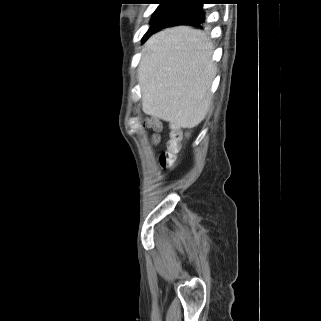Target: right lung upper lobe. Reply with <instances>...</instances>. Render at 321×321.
Wrapping results in <instances>:
<instances>
[{
  "label": "right lung upper lobe",
  "mask_w": 321,
  "mask_h": 321,
  "mask_svg": "<svg viewBox=\"0 0 321 321\" xmlns=\"http://www.w3.org/2000/svg\"><path fill=\"white\" fill-rule=\"evenodd\" d=\"M161 1H171L173 5H175L176 7L178 5H185L192 2H200L201 0H161Z\"/></svg>",
  "instance_id": "right-lung-upper-lobe-1"
}]
</instances>
